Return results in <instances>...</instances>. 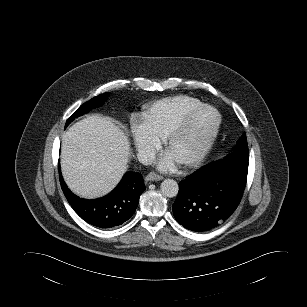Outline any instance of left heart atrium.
<instances>
[{"instance_id": "39dd6f15", "label": "left heart atrium", "mask_w": 307, "mask_h": 307, "mask_svg": "<svg viewBox=\"0 0 307 307\" xmlns=\"http://www.w3.org/2000/svg\"><path fill=\"white\" fill-rule=\"evenodd\" d=\"M176 163L177 161L170 154H167L160 160L159 168L162 170H170L175 167Z\"/></svg>"}]
</instances>
